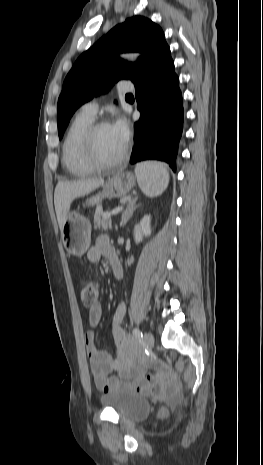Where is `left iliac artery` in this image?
I'll list each match as a JSON object with an SVG mask.
<instances>
[{
    "label": "left iliac artery",
    "mask_w": 263,
    "mask_h": 465,
    "mask_svg": "<svg viewBox=\"0 0 263 465\" xmlns=\"http://www.w3.org/2000/svg\"><path fill=\"white\" fill-rule=\"evenodd\" d=\"M133 335L139 342L143 340V334L138 328L133 329Z\"/></svg>",
    "instance_id": "44dca946"
}]
</instances>
